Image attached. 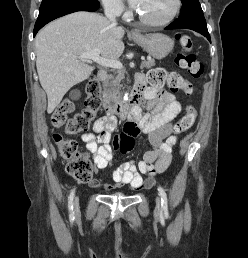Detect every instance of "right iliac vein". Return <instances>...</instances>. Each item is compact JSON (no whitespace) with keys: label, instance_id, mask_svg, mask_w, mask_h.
Listing matches in <instances>:
<instances>
[{"label":"right iliac vein","instance_id":"1","mask_svg":"<svg viewBox=\"0 0 248 258\" xmlns=\"http://www.w3.org/2000/svg\"><path fill=\"white\" fill-rule=\"evenodd\" d=\"M78 206H79V198L76 197L75 198V209L78 210Z\"/></svg>","mask_w":248,"mask_h":258}]
</instances>
